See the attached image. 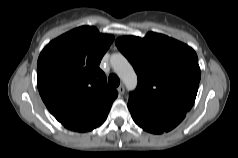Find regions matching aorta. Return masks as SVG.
Instances as JSON below:
<instances>
[{"instance_id":"1","label":"aorta","mask_w":238,"mask_h":158,"mask_svg":"<svg viewBox=\"0 0 238 158\" xmlns=\"http://www.w3.org/2000/svg\"><path fill=\"white\" fill-rule=\"evenodd\" d=\"M110 63L115 73L122 79L128 90H134L137 85V75L128 62L120 53L112 54Z\"/></svg>"}]
</instances>
